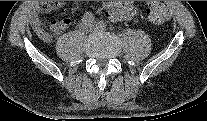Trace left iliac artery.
<instances>
[{"instance_id": "1", "label": "left iliac artery", "mask_w": 207, "mask_h": 121, "mask_svg": "<svg viewBox=\"0 0 207 121\" xmlns=\"http://www.w3.org/2000/svg\"><path fill=\"white\" fill-rule=\"evenodd\" d=\"M97 25H98L101 29H105V28H106V23L103 22V21H99V22L97 23Z\"/></svg>"}]
</instances>
